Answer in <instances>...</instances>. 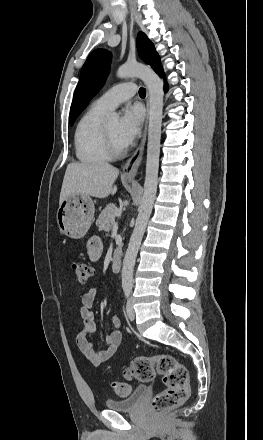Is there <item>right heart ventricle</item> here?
<instances>
[{"mask_svg":"<svg viewBox=\"0 0 263 440\" xmlns=\"http://www.w3.org/2000/svg\"><path fill=\"white\" fill-rule=\"evenodd\" d=\"M107 111L94 102L78 121L74 145L76 156L81 162L96 163L110 159L102 137V125Z\"/></svg>","mask_w":263,"mask_h":440,"instance_id":"right-heart-ventricle-1","label":"right heart ventricle"}]
</instances>
